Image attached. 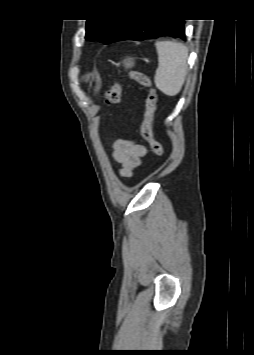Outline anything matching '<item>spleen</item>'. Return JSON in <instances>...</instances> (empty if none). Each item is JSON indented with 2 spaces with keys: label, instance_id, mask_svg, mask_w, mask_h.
Listing matches in <instances>:
<instances>
[{
  "label": "spleen",
  "instance_id": "spleen-1",
  "mask_svg": "<svg viewBox=\"0 0 254 355\" xmlns=\"http://www.w3.org/2000/svg\"><path fill=\"white\" fill-rule=\"evenodd\" d=\"M158 68L155 73V86L168 96L177 95L184 84L188 65V50L174 41L156 42Z\"/></svg>",
  "mask_w": 254,
  "mask_h": 355
}]
</instances>
